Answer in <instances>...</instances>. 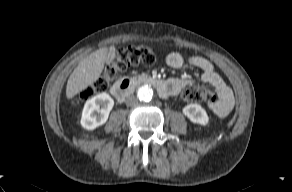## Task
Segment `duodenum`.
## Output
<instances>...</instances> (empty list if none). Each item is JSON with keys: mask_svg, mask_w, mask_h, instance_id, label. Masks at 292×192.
Listing matches in <instances>:
<instances>
[{"mask_svg": "<svg viewBox=\"0 0 292 192\" xmlns=\"http://www.w3.org/2000/svg\"><path fill=\"white\" fill-rule=\"evenodd\" d=\"M140 84H148L153 86L160 96L168 95V83L162 79H156L148 76H135L132 78H123L118 81L111 89L112 94L119 102H123Z\"/></svg>", "mask_w": 292, "mask_h": 192, "instance_id": "duodenum-1", "label": "duodenum"}]
</instances>
